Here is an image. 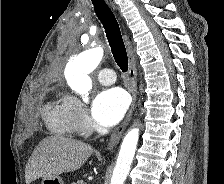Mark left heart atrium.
<instances>
[{
    "instance_id": "39dd6f15",
    "label": "left heart atrium",
    "mask_w": 224,
    "mask_h": 184,
    "mask_svg": "<svg viewBox=\"0 0 224 184\" xmlns=\"http://www.w3.org/2000/svg\"><path fill=\"white\" fill-rule=\"evenodd\" d=\"M127 107L126 93L119 88H112L104 90L96 96L91 113L98 124L111 127L122 119Z\"/></svg>"
}]
</instances>
